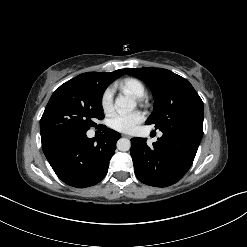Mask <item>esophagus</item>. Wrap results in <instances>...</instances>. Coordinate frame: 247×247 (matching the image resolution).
Here are the masks:
<instances>
[{"label":"esophagus","mask_w":247,"mask_h":247,"mask_svg":"<svg viewBox=\"0 0 247 247\" xmlns=\"http://www.w3.org/2000/svg\"><path fill=\"white\" fill-rule=\"evenodd\" d=\"M123 137H126V138H131L130 135H127V134H122Z\"/></svg>","instance_id":"esophagus-1"}]
</instances>
